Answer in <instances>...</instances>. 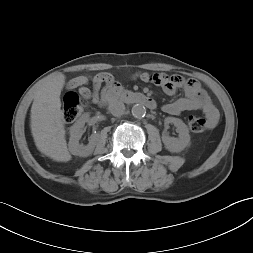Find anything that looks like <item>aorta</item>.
<instances>
[{
	"instance_id": "1",
	"label": "aorta",
	"mask_w": 253,
	"mask_h": 253,
	"mask_svg": "<svg viewBox=\"0 0 253 253\" xmlns=\"http://www.w3.org/2000/svg\"><path fill=\"white\" fill-rule=\"evenodd\" d=\"M131 112L134 117L141 118V117L145 116L146 109H145L144 105H142V104H135V105H133Z\"/></svg>"
}]
</instances>
